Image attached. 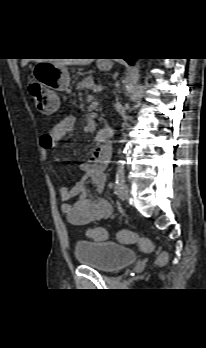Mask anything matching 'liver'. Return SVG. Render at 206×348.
<instances>
[{
    "label": "liver",
    "mask_w": 206,
    "mask_h": 348,
    "mask_svg": "<svg viewBox=\"0 0 206 348\" xmlns=\"http://www.w3.org/2000/svg\"><path fill=\"white\" fill-rule=\"evenodd\" d=\"M94 59H53L50 62H53L57 65H89L93 62ZM29 59H23L22 65L25 66L28 63Z\"/></svg>",
    "instance_id": "liver-1"
}]
</instances>
